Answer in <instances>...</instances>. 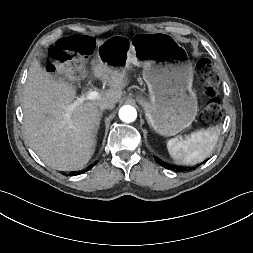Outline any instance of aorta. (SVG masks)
<instances>
[{"instance_id":"obj_1","label":"aorta","mask_w":253,"mask_h":253,"mask_svg":"<svg viewBox=\"0 0 253 253\" xmlns=\"http://www.w3.org/2000/svg\"><path fill=\"white\" fill-rule=\"evenodd\" d=\"M119 118L126 123L133 122L137 118V111L133 106L125 105L119 110Z\"/></svg>"}]
</instances>
